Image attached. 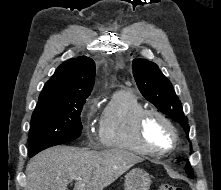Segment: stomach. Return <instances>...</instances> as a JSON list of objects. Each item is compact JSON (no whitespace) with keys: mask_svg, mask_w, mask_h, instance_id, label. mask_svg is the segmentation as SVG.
<instances>
[{"mask_svg":"<svg viewBox=\"0 0 221 190\" xmlns=\"http://www.w3.org/2000/svg\"><path fill=\"white\" fill-rule=\"evenodd\" d=\"M151 179L149 174L140 168L132 169L125 176V190H149Z\"/></svg>","mask_w":221,"mask_h":190,"instance_id":"obj_1","label":"stomach"}]
</instances>
